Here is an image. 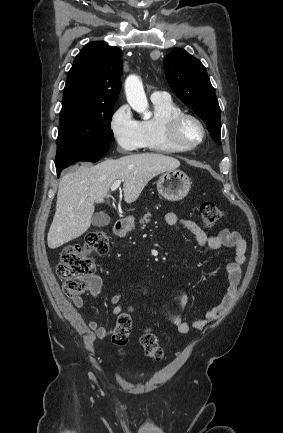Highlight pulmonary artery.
Wrapping results in <instances>:
<instances>
[{
	"label": "pulmonary artery",
	"instance_id": "e3ab8cb5",
	"mask_svg": "<svg viewBox=\"0 0 283 433\" xmlns=\"http://www.w3.org/2000/svg\"><path fill=\"white\" fill-rule=\"evenodd\" d=\"M166 92H159V91H153L150 94V99L152 102L158 101V100H162V99H166Z\"/></svg>",
	"mask_w": 283,
	"mask_h": 433
}]
</instances>
